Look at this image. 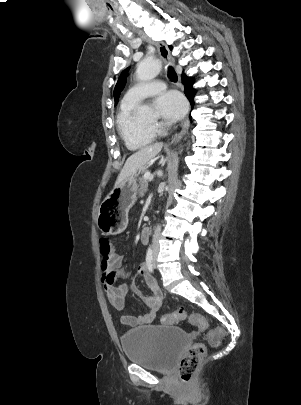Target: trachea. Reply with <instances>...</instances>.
I'll list each match as a JSON object with an SVG mask.
<instances>
[{"instance_id": "obj_1", "label": "trachea", "mask_w": 301, "mask_h": 405, "mask_svg": "<svg viewBox=\"0 0 301 405\" xmlns=\"http://www.w3.org/2000/svg\"><path fill=\"white\" fill-rule=\"evenodd\" d=\"M168 77L172 82L177 81V74L171 66L168 67Z\"/></svg>"}]
</instances>
